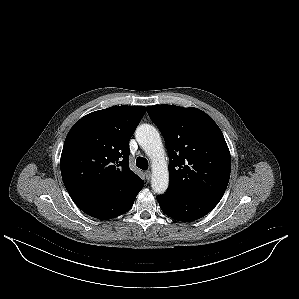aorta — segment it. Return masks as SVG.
<instances>
[{
	"mask_svg": "<svg viewBox=\"0 0 299 299\" xmlns=\"http://www.w3.org/2000/svg\"><path fill=\"white\" fill-rule=\"evenodd\" d=\"M135 137L152 164L151 186L155 193H164L169 186L168 166L159 132L149 124L137 127Z\"/></svg>",
	"mask_w": 299,
	"mask_h": 299,
	"instance_id": "aorta-1",
	"label": "aorta"
}]
</instances>
